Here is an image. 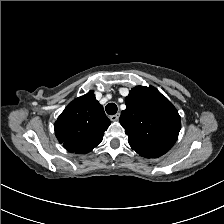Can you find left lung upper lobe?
<instances>
[{"instance_id": "left-lung-upper-lobe-1", "label": "left lung upper lobe", "mask_w": 224, "mask_h": 224, "mask_svg": "<svg viewBox=\"0 0 224 224\" xmlns=\"http://www.w3.org/2000/svg\"><path fill=\"white\" fill-rule=\"evenodd\" d=\"M120 123L132 149L147 158H157L168 152L181 129L178 111L153 86L131 89Z\"/></svg>"}]
</instances>
